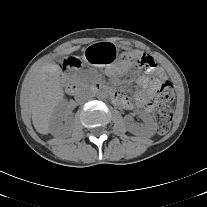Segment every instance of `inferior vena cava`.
Returning a JSON list of instances; mask_svg holds the SVG:
<instances>
[{"label": "inferior vena cava", "instance_id": "obj_1", "mask_svg": "<svg viewBox=\"0 0 207 207\" xmlns=\"http://www.w3.org/2000/svg\"><path fill=\"white\" fill-rule=\"evenodd\" d=\"M92 98V94L89 92L82 91L76 96V101L79 103H85Z\"/></svg>", "mask_w": 207, "mask_h": 207}]
</instances>
